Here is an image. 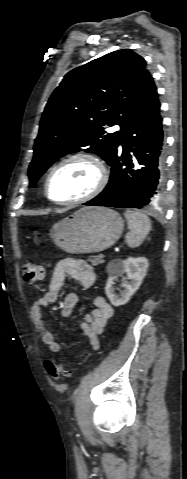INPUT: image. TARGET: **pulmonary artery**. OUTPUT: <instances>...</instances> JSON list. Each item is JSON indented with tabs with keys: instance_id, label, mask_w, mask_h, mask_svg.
Instances as JSON below:
<instances>
[{
	"instance_id": "pulmonary-artery-1",
	"label": "pulmonary artery",
	"mask_w": 187,
	"mask_h": 479,
	"mask_svg": "<svg viewBox=\"0 0 187 479\" xmlns=\"http://www.w3.org/2000/svg\"><path fill=\"white\" fill-rule=\"evenodd\" d=\"M112 130H113V131H118V130H120V126L116 125V126H114V127L112 128Z\"/></svg>"
}]
</instances>
